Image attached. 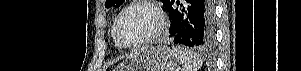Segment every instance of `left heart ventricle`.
Masks as SVG:
<instances>
[{"label": "left heart ventricle", "mask_w": 301, "mask_h": 71, "mask_svg": "<svg viewBox=\"0 0 301 71\" xmlns=\"http://www.w3.org/2000/svg\"><path fill=\"white\" fill-rule=\"evenodd\" d=\"M155 15L145 7H133L121 18L119 24V35L125 43H136L156 28Z\"/></svg>", "instance_id": "left-heart-ventricle-1"}]
</instances>
